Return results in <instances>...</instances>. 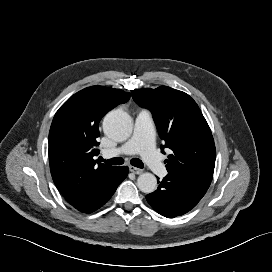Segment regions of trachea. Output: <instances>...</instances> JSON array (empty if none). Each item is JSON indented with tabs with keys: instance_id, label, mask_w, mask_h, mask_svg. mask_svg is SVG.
Listing matches in <instances>:
<instances>
[{
	"instance_id": "obj_1",
	"label": "trachea",
	"mask_w": 272,
	"mask_h": 272,
	"mask_svg": "<svg viewBox=\"0 0 272 272\" xmlns=\"http://www.w3.org/2000/svg\"><path fill=\"white\" fill-rule=\"evenodd\" d=\"M103 162L107 163V164H110V165H121L124 163V160L120 157H116V158H112V159H108V160H104L102 159ZM130 163L135 166V167H138V168H143L144 167V164L141 160L137 159V158H134V159H131Z\"/></svg>"
}]
</instances>
